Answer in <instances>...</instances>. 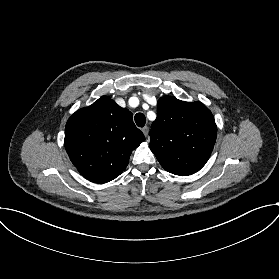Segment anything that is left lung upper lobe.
Segmentation results:
<instances>
[{
    "label": "left lung upper lobe",
    "mask_w": 279,
    "mask_h": 279,
    "mask_svg": "<svg viewBox=\"0 0 279 279\" xmlns=\"http://www.w3.org/2000/svg\"><path fill=\"white\" fill-rule=\"evenodd\" d=\"M150 149L162 167L175 175L199 171L213 150L217 126L201 102L165 96L157 103V118L149 132Z\"/></svg>",
    "instance_id": "1"
}]
</instances>
